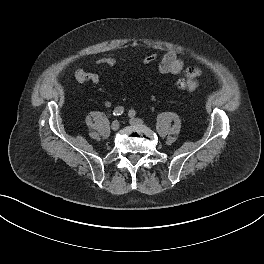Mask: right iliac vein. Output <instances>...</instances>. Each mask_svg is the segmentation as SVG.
Listing matches in <instances>:
<instances>
[{"label":"right iliac vein","mask_w":264,"mask_h":264,"mask_svg":"<svg viewBox=\"0 0 264 264\" xmlns=\"http://www.w3.org/2000/svg\"><path fill=\"white\" fill-rule=\"evenodd\" d=\"M119 126H120L119 122H118L117 120H115V121H113L112 124H111V129H112L113 131H116V130L119 129Z\"/></svg>","instance_id":"right-iliac-vein-1"}]
</instances>
